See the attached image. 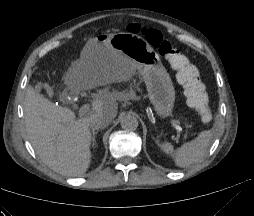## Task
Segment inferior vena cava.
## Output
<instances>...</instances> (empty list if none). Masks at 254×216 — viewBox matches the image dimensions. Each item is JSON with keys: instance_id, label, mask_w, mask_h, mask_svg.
<instances>
[{"instance_id": "obj_1", "label": "inferior vena cava", "mask_w": 254, "mask_h": 216, "mask_svg": "<svg viewBox=\"0 0 254 216\" xmlns=\"http://www.w3.org/2000/svg\"><path fill=\"white\" fill-rule=\"evenodd\" d=\"M110 120L100 115H93L89 118V127L92 130L103 129L110 124Z\"/></svg>"}]
</instances>
